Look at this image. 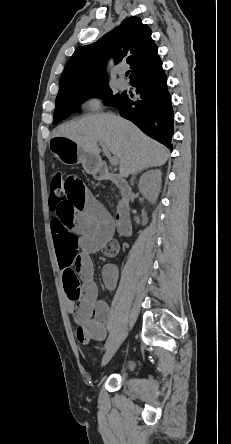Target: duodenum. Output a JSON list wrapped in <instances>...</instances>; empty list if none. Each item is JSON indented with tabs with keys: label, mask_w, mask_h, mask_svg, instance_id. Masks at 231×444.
I'll use <instances>...</instances> for the list:
<instances>
[{
	"label": "duodenum",
	"mask_w": 231,
	"mask_h": 444,
	"mask_svg": "<svg viewBox=\"0 0 231 444\" xmlns=\"http://www.w3.org/2000/svg\"><path fill=\"white\" fill-rule=\"evenodd\" d=\"M97 174L106 180L115 182L123 195L124 201L121 203L117 211L114 224L119 235L129 236L131 234V221L128 212V203L131 195L130 186L122 177L110 172L105 165H102L99 168Z\"/></svg>",
	"instance_id": "obj_1"
}]
</instances>
